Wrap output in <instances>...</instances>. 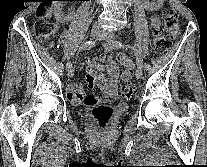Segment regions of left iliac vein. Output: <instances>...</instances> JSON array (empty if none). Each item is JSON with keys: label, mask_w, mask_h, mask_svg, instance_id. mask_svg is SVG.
Masks as SVG:
<instances>
[{"label": "left iliac vein", "mask_w": 207, "mask_h": 167, "mask_svg": "<svg viewBox=\"0 0 207 167\" xmlns=\"http://www.w3.org/2000/svg\"><path fill=\"white\" fill-rule=\"evenodd\" d=\"M100 38L103 39V40H106L111 47L116 48L114 46V43H115L116 40H115V34L113 32H111V31H103ZM136 77L138 79H140L142 77V68L137 67V69H136Z\"/></svg>", "instance_id": "1"}]
</instances>
